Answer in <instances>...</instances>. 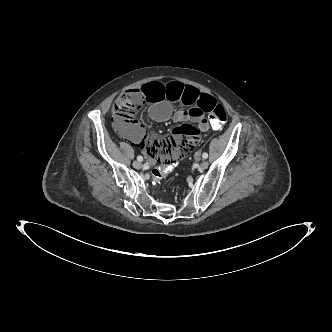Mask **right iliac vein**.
I'll return each instance as SVG.
<instances>
[{"label": "right iliac vein", "mask_w": 332, "mask_h": 332, "mask_svg": "<svg viewBox=\"0 0 332 332\" xmlns=\"http://www.w3.org/2000/svg\"><path fill=\"white\" fill-rule=\"evenodd\" d=\"M133 166L136 169H141L142 168V163L140 161L136 160V161L133 162Z\"/></svg>", "instance_id": "right-iliac-vein-1"}]
</instances>
